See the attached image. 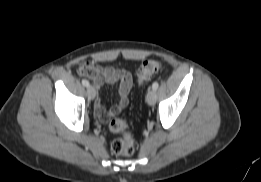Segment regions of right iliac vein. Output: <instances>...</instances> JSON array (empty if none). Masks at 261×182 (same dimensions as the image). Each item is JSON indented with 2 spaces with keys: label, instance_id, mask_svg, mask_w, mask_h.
<instances>
[{
  "label": "right iliac vein",
  "instance_id": "1",
  "mask_svg": "<svg viewBox=\"0 0 261 182\" xmlns=\"http://www.w3.org/2000/svg\"><path fill=\"white\" fill-rule=\"evenodd\" d=\"M87 95L90 99H94L96 96V90L93 86L87 87Z\"/></svg>",
  "mask_w": 261,
  "mask_h": 182
}]
</instances>
